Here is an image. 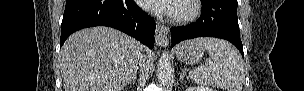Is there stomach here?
Here are the masks:
<instances>
[{
	"label": "stomach",
	"instance_id": "stomach-1",
	"mask_svg": "<svg viewBox=\"0 0 304 91\" xmlns=\"http://www.w3.org/2000/svg\"><path fill=\"white\" fill-rule=\"evenodd\" d=\"M176 56L186 64L198 63L204 56V48L198 40H187L179 44L176 49Z\"/></svg>",
	"mask_w": 304,
	"mask_h": 91
}]
</instances>
